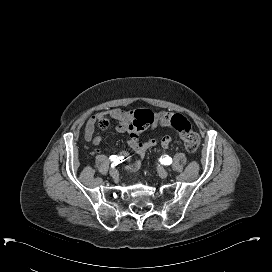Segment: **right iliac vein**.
Here are the masks:
<instances>
[{"label": "right iliac vein", "instance_id": "63e3f726", "mask_svg": "<svg viewBox=\"0 0 272 272\" xmlns=\"http://www.w3.org/2000/svg\"><path fill=\"white\" fill-rule=\"evenodd\" d=\"M110 176L112 177V178H117L118 177V171L116 170V169H111L110 170Z\"/></svg>", "mask_w": 272, "mask_h": 272}]
</instances>
